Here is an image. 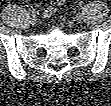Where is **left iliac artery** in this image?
<instances>
[{"label":"left iliac artery","instance_id":"44dca946","mask_svg":"<svg viewBox=\"0 0 111 106\" xmlns=\"http://www.w3.org/2000/svg\"><path fill=\"white\" fill-rule=\"evenodd\" d=\"M78 7H79V9H82V8H83V5H82V4H79Z\"/></svg>","mask_w":111,"mask_h":106}]
</instances>
